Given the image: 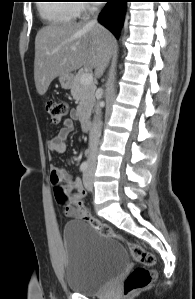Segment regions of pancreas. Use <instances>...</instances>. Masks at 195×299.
<instances>
[{
	"label": "pancreas",
	"instance_id": "pancreas-1",
	"mask_svg": "<svg viewBox=\"0 0 195 299\" xmlns=\"http://www.w3.org/2000/svg\"><path fill=\"white\" fill-rule=\"evenodd\" d=\"M84 73V70H80L76 74L71 87V95L76 101L79 102L77 106V112L80 118L89 116L95 103V84H82L81 76Z\"/></svg>",
	"mask_w": 195,
	"mask_h": 299
}]
</instances>
